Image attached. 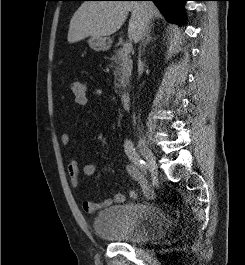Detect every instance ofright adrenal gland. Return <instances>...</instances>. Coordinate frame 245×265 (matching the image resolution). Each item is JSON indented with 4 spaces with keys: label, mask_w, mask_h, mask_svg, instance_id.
I'll list each match as a JSON object with an SVG mask.
<instances>
[{
    "label": "right adrenal gland",
    "mask_w": 245,
    "mask_h": 265,
    "mask_svg": "<svg viewBox=\"0 0 245 265\" xmlns=\"http://www.w3.org/2000/svg\"><path fill=\"white\" fill-rule=\"evenodd\" d=\"M152 28H153V24L151 25V27L149 28V30L146 33V39H145L144 44H143V51L145 50L147 44L150 43V41H152L153 39H155V38H153L151 36V30H152Z\"/></svg>",
    "instance_id": "right-adrenal-gland-1"
}]
</instances>
